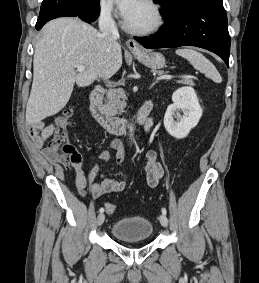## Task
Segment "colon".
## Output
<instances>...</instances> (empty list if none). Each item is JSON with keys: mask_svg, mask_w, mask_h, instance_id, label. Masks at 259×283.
<instances>
[{"mask_svg": "<svg viewBox=\"0 0 259 283\" xmlns=\"http://www.w3.org/2000/svg\"><path fill=\"white\" fill-rule=\"evenodd\" d=\"M73 115L74 107L67 106L55 117L54 133L44 150L47 159L67 167L77 165L82 161L80 152L68 141ZM104 207L108 214L116 211V205L113 203H106Z\"/></svg>", "mask_w": 259, "mask_h": 283, "instance_id": "5ec220e1", "label": "colon"}]
</instances>
